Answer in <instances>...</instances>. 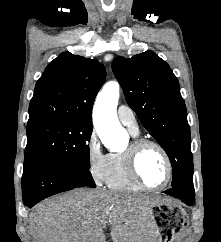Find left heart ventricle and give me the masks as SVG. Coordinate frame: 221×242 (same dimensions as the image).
I'll list each match as a JSON object with an SVG mask.
<instances>
[{
  "instance_id": "1",
  "label": "left heart ventricle",
  "mask_w": 221,
  "mask_h": 242,
  "mask_svg": "<svg viewBox=\"0 0 221 242\" xmlns=\"http://www.w3.org/2000/svg\"><path fill=\"white\" fill-rule=\"evenodd\" d=\"M138 170L144 182L150 186L162 185L167 177L166 162L160 151L146 147L138 159Z\"/></svg>"
}]
</instances>
